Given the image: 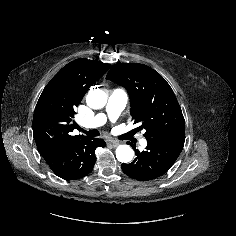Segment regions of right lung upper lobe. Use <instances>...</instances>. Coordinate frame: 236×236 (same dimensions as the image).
<instances>
[{"instance_id": "obj_1", "label": "right lung upper lobe", "mask_w": 236, "mask_h": 236, "mask_svg": "<svg viewBox=\"0 0 236 236\" xmlns=\"http://www.w3.org/2000/svg\"><path fill=\"white\" fill-rule=\"evenodd\" d=\"M110 64L76 59L64 66L44 88L34 111L33 136L38 150L68 146L86 138L73 136L75 108Z\"/></svg>"}]
</instances>
